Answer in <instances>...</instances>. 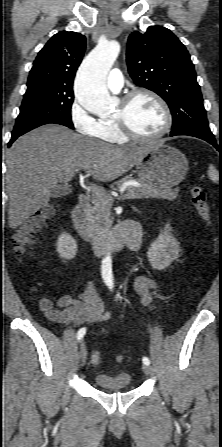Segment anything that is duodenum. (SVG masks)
<instances>
[{
	"label": "duodenum",
	"mask_w": 222,
	"mask_h": 447,
	"mask_svg": "<svg viewBox=\"0 0 222 447\" xmlns=\"http://www.w3.org/2000/svg\"><path fill=\"white\" fill-rule=\"evenodd\" d=\"M91 204L87 194H81L78 204L72 212V226L80 240L94 252L106 255L120 251L127 247L137 251L141 244L142 228L137 220H125L116 225L104 238L93 239L89 236L86 227V217Z\"/></svg>",
	"instance_id": "obj_1"
}]
</instances>
